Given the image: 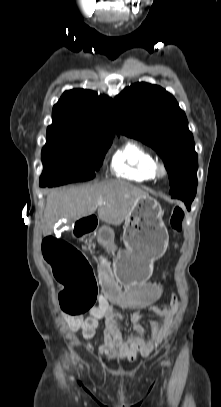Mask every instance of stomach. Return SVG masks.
<instances>
[{"label": "stomach", "instance_id": "0dacf381", "mask_svg": "<svg viewBox=\"0 0 221 407\" xmlns=\"http://www.w3.org/2000/svg\"><path fill=\"white\" fill-rule=\"evenodd\" d=\"M164 211L159 202L140 197L125 220V248L115 251L113 273L119 283L146 282L152 274L153 262L165 253L169 235L163 222Z\"/></svg>", "mask_w": 221, "mask_h": 407}]
</instances>
